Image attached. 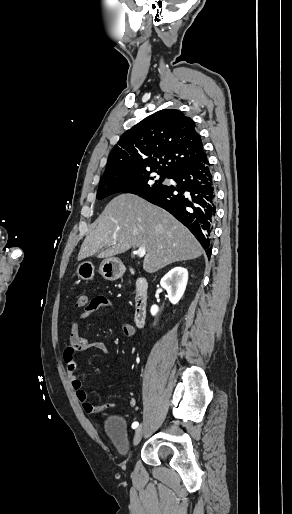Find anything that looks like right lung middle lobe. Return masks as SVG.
Segmentation results:
<instances>
[{
    "instance_id": "1",
    "label": "right lung middle lobe",
    "mask_w": 292,
    "mask_h": 514,
    "mask_svg": "<svg viewBox=\"0 0 292 514\" xmlns=\"http://www.w3.org/2000/svg\"><path fill=\"white\" fill-rule=\"evenodd\" d=\"M153 173L161 175V178L157 180L153 176ZM169 176V174L161 171H152L137 175L101 180L97 192V199H103L118 192L132 193L142 197L161 187L163 185L164 178H169Z\"/></svg>"
}]
</instances>
